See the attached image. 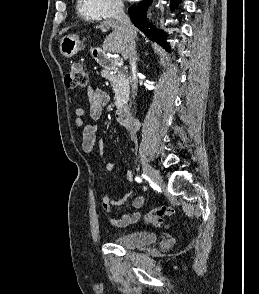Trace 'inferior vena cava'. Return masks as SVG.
Wrapping results in <instances>:
<instances>
[{"label": "inferior vena cava", "mask_w": 259, "mask_h": 294, "mask_svg": "<svg viewBox=\"0 0 259 294\" xmlns=\"http://www.w3.org/2000/svg\"><path fill=\"white\" fill-rule=\"evenodd\" d=\"M115 19L120 25V28L124 31L127 39L129 62L131 66V90L132 98L135 99L137 95V55H136V44H135V28L133 27L129 17L124 12L123 3L119 2L115 9Z\"/></svg>", "instance_id": "1"}]
</instances>
